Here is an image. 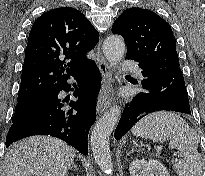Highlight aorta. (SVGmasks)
Masks as SVG:
<instances>
[{"mask_svg":"<svg viewBox=\"0 0 205 176\" xmlns=\"http://www.w3.org/2000/svg\"><path fill=\"white\" fill-rule=\"evenodd\" d=\"M103 53L111 65H117L125 55V42L121 36L110 35L103 42ZM121 115V108L113 106L105 113L93 128L91 133V148L96 163L105 173H111L109 137L116 127Z\"/></svg>","mask_w":205,"mask_h":176,"instance_id":"obj_1","label":"aorta"}]
</instances>
